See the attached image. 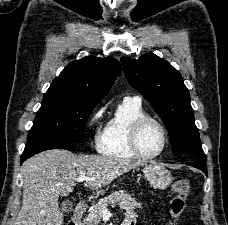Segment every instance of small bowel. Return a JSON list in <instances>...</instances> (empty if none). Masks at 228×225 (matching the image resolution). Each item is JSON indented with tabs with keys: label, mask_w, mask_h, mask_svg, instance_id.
Here are the masks:
<instances>
[{
	"label": "small bowel",
	"mask_w": 228,
	"mask_h": 225,
	"mask_svg": "<svg viewBox=\"0 0 228 225\" xmlns=\"http://www.w3.org/2000/svg\"><path fill=\"white\" fill-rule=\"evenodd\" d=\"M127 217H131V218H133V219L135 220L136 214H135L134 212H128L127 215H126V218H127ZM126 218H125V219H126ZM167 224H168V225H174L172 222H168Z\"/></svg>",
	"instance_id": "obj_1"
}]
</instances>
